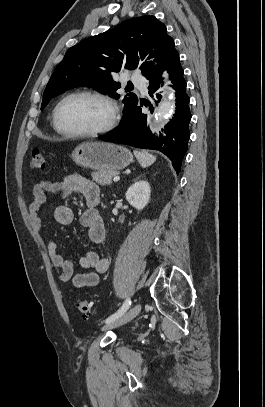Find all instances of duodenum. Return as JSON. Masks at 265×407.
<instances>
[{
    "label": "duodenum",
    "mask_w": 265,
    "mask_h": 407,
    "mask_svg": "<svg viewBox=\"0 0 265 407\" xmlns=\"http://www.w3.org/2000/svg\"><path fill=\"white\" fill-rule=\"evenodd\" d=\"M98 204H99V200H98V199L93 201V205H94V206H96V205H98Z\"/></svg>",
    "instance_id": "1"
}]
</instances>
